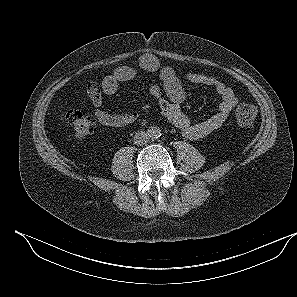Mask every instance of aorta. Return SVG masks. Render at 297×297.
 <instances>
[{
  "mask_svg": "<svg viewBox=\"0 0 297 297\" xmlns=\"http://www.w3.org/2000/svg\"><path fill=\"white\" fill-rule=\"evenodd\" d=\"M148 132H149V136H150L151 138H158V137L161 136L160 129L157 128V127H151V128L148 130Z\"/></svg>",
  "mask_w": 297,
  "mask_h": 297,
  "instance_id": "obj_1",
  "label": "aorta"
}]
</instances>
